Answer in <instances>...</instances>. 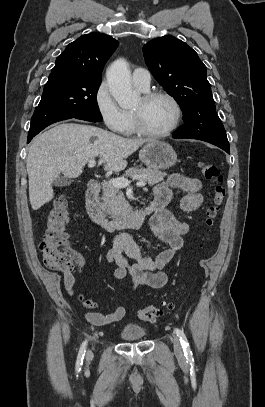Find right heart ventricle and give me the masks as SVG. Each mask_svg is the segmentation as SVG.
<instances>
[{
	"label": "right heart ventricle",
	"instance_id": "right-heart-ventricle-1",
	"mask_svg": "<svg viewBox=\"0 0 265 407\" xmlns=\"http://www.w3.org/2000/svg\"><path fill=\"white\" fill-rule=\"evenodd\" d=\"M125 116H126V122H125L123 130L120 133H122L125 136H131V135L135 134V131L133 129V124H132L131 112H125Z\"/></svg>",
	"mask_w": 265,
	"mask_h": 407
}]
</instances>
